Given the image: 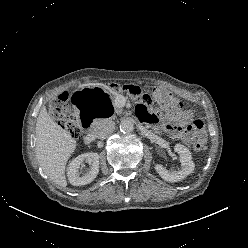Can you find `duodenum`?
<instances>
[{
    "mask_svg": "<svg viewBox=\"0 0 248 248\" xmlns=\"http://www.w3.org/2000/svg\"><path fill=\"white\" fill-rule=\"evenodd\" d=\"M94 117L92 116H87V117H84L82 116L81 120H82V125L83 127L89 132L90 131V128H91V124H92V119Z\"/></svg>",
    "mask_w": 248,
    "mask_h": 248,
    "instance_id": "410a0bca",
    "label": "duodenum"
}]
</instances>
